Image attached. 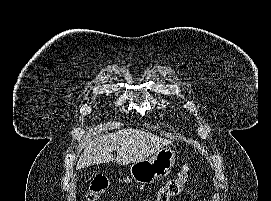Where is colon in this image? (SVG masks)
<instances>
[{"instance_id":"5ec220e1","label":"colon","mask_w":271,"mask_h":201,"mask_svg":"<svg viewBox=\"0 0 271 201\" xmlns=\"http://www.w3.org/2000/svg\"><path fill=\"white\" fill-rule=\"evenodd\" d=\"M190 172V164L186 163L182 166L177 176L169 180L157 193L153 201H170L177 196L183 189L188 180ZM108 187V181L104 177H95L89 186L86 194V201H96L98 197L104 193Z\"/></svg>"}]
</instances>
